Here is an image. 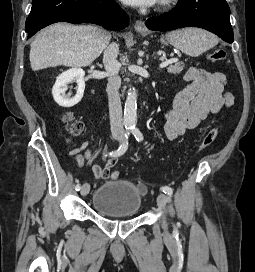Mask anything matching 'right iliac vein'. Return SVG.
<instances>
[{
  "instance_id": "1",
  "label": "right iliac vein",
  "mask_w": 255,
  "mask_h": 272,
  "mask_svg": "<svg viewBox=\"0 0 255 272\" xmlns=\"http://www.w3.org/2000/svg\"><path fill=\"white\" fill-rule=\"evenodd\" d=\"M114 138L121 140L120 137L118 136H114ZM89 191H90V185L88 183H84L81 187V191H80L81 195L86 196L89 193Z\"/></svg>"
}]
</instances>
